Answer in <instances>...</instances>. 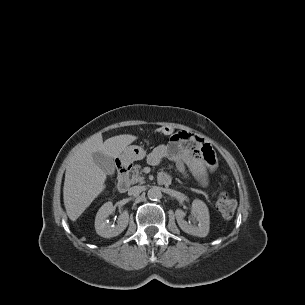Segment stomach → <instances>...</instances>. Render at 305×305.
I'll use <instances>...</instances> for the list:
<instances>
[{
    "instance_id": "1",
    "label": "stomach",
    "mask_w": 305,
    "mask_h": 305,
    "mask_svg": "<svg viewBox=\"0 0 305 305\" xmlns=\"http://www.w3.org/2000/svg\"><path fill=\"white\" fill-rule=\"evenodd\" d=\"M146 156V151L143 147L138 145L128 146L124 152L119 156L124 164H131L134 161L142 160Z\"/></svg>"
}]
</instances>
